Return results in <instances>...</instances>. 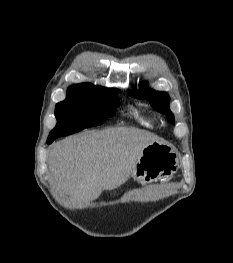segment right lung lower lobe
I'll return each mask as SVG.
<instances>
[{"label": "right lung lower lobe", "mask_w": 233, "mask_h": 263, "mask_svg": "<svg viewBox=\"0 0 233 263\" xmlns=\"http://www.w3.org/2000/svg\"><path fill=\"white\" fill-rule=\"evenodd\" d=\"M48 144L52 143L51 141H47Z\"/></svg>", "instance_id": "98d812e1"}]
</instances>
